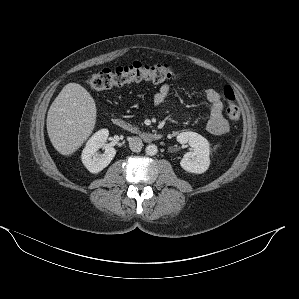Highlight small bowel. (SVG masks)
Segmentation results:
<instances>
[{"instance_id":"small-bowel-1","label":"small bowel","mask_w":299,"mask_h":299,"mask_svg":"<svg viewBox=\"0 0 299 299\" xmlns=\"http://www.w3.org/2000/svg\"><path fill=\"white\" fill-rule=\"evenodd\" d=\"M170 91L171 88L168 84L162 85L153 96L154 104H163L170 94ZM206 98L210 103L206 126L208 132L213 135H222L227 133L230 130V124L222 114L223 105L220 100L219 93L214 89H207Z\"/></svg>"}]
</instances>
